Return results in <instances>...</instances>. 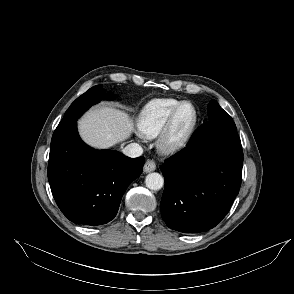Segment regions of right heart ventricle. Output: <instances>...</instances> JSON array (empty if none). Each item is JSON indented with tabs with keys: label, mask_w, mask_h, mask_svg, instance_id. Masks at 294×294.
Listing matches in <instances>:
<instances>
[{
	"label": "right heart ventricle",
	"mask_w": 294,
	"mask_h": 294,
	"mask_svg": "<svg viewBox=\"0 0 294 294\" xmlns=\"http://www.w3.org/2000/svg\"><path fill=\"white\" fill-rule=\"evenodd\" d=\"M181 102L173 98L151 100L140 113L138 119L140 133L147 138L156 137Z\"/></svg>",
	"instance_id": "e07e8e85"
}]
</instances>
